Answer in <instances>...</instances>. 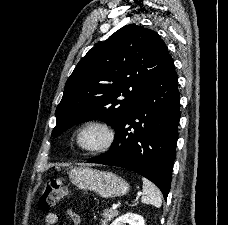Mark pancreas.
<instances>
[{
    "instance_id": "cf45deb5",
    "label": "pancreas",
    "mask_w": 228,
    "mask_h": 225,
    "mask_svg": "<svg viewBox=\"0 0 228 225\" xmlns=\"http://www.w3.org/2000/svg\"><path fill=\"white\" fill-rule=\"evenodd\" d=\"M117 215H119V211H115V209H105L103 213L102 225H108L111 219H114Z\"/></svg>"
}]
</instances>
